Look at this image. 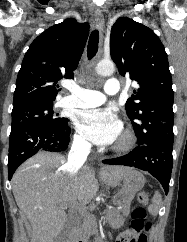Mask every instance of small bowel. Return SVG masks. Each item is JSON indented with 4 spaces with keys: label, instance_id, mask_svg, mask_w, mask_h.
<instances>
[{
    "label": "small bowel",
    "instance_id": "obj_1",
    "mask_svg": "<svg viewBox=\"0 0 187 242\" xmlns=\"http://www.w3.org/2000/svg\"><path fill=\"white\" fill-rule=\"evenodd\" d=\"M131 235H132L131 230H125V231H123L120 234L117 242H126L125 240H127L128 238H130Z\"/></svg>",
    "mask_w": 187,
    "mask_h": 242
}]
</instances>
